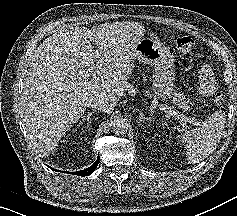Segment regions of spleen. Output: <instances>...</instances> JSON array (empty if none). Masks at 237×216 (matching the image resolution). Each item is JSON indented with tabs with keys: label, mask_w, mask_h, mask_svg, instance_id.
<instances>
[{
	"label": "spleen",
	"mask_w": 237,
	"mask_h": 216,
	"mask_svg": "<svg viewBox=\"0 0 237 216\" xmlns=\"http://www.w3.org/2000/svg\"><path fill=\"white\" fill-rule=\"evenodd\" d=\"M181 140L183 143H187L186 147L191 154L190 158L195 159L201 153L206 152L210 147L216 145L218 135L216 130L205 122L200 127L185 133Z\"/></svg>",
	"instance_id": "1"
}]
</instances>
